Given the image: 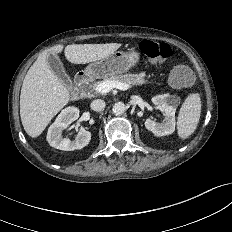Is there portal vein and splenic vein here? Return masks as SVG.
Returning <instances> with one entry per match:
<instances>
[{"label": "portal vein and splenic vein", "mask_w": 232, "mask_h": 232, "mask_svg": "<svg viewBox=\"0 0 232 232\" xmlns=\"http://www.w3.org/2000/svg\"><path fill=\"white\" fill-rule=\"evenodd\" d=\"M113 88H117L120 90H127L130 88V85L127 83L119 82V81H105V82H101L100 84H98L95 90L98 93H108Z\"/></svg>", "instance_id": "18ae733b"}]
</instances>
